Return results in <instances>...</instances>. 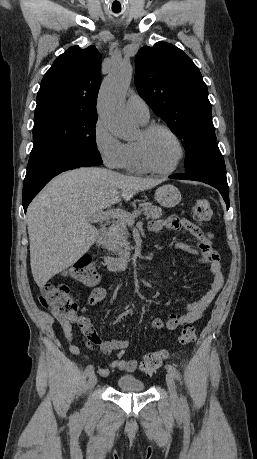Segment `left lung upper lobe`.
Masks as SVG:
<instances>
[{"label":"left lung upper lobe","instance_id":"obj_1","mask_svg":"<svg viewBox=\"0 0 257 459\" xmlns=\"http://www.w3.org/2000/svg\"><path fill=\"white\" fill-rule=\"evenodd\" d=\"M139 95L181 139L186 172L225 166L218 152L207 86L192 60L165 42L142 47L135 58Z\"/></svg>","mask_w":257,"mask_h":459}]
</instances>
